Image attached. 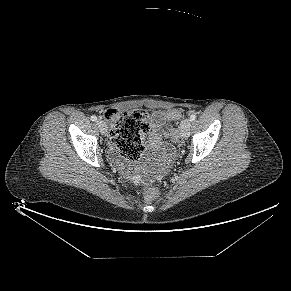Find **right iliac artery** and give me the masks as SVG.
<instances>
[{
  "label": "right iliac artery",
  "mask_w": 291,
  "mask_h": 291,
  "mask_svg": "<svg viewBox=\"0 0 291 291\" xmlns=\"http://www.w3.org/2000/svg\"><path fill=\"white\" fill-rule=\"evenodd\" d=\"M91 120L96 122L97 121V117L93 115V116H91Z\"/></svg>",
  "instance_id": "1"
}]
</instances>
